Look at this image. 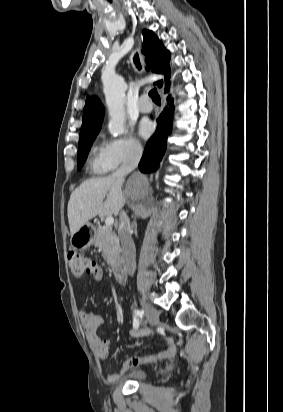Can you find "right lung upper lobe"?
<instances>
[{
	"instance_id": "obj_1",
	"label": "right lung upper lobe",
	"mask_w": 283,
	"mask_h": 412,
	"mask_svg": "<svg viewBox=\"0 0 283 412\" xmlns=\"http://www.w3.org/2000/svg\"><path fill=\"white\" fill-rule=\"evenodd\" d=\"M143 35V53L147 56L146 60L151 71L155 73H163L166 78V84L170 79V53L165 49L162 42L158 37L148 30L142 31ZM148 70V69H147ZM158 87L163 85V81L160 80L155 83ZM104 117V107L100 100L95 96H87L85 107L83 110V120L80 131V137L85 135L99 132L101 129L102 121Z\"/></svg>"
}]
</instances>
